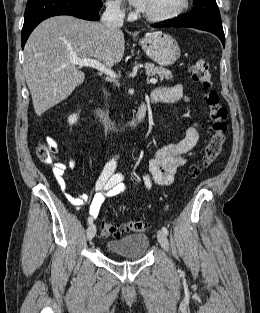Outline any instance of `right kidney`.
Listing matches in <instances>:
<instances>
[{
  "mask_svg": "<svg viewBox=\"0 0 260 313\" xmlns=\"http://www.w3.org/2000/svg\"><path fill=\"white\" fill-rule=\"evenodd\" d=\"M77 120H78L77 114L70 115L69 118H68V122L71 125L76 123Z\"/></svg>",
  "mask_w": 260,
  "mask_h": 313,
  "instance_id": "ca27d5eb",
  "label": "right kidney"
}]
</instances>
